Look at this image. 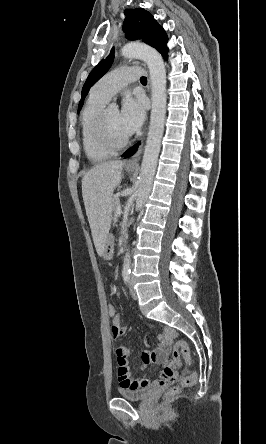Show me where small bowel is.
Listing matches in <instances>:
<instances>
[{"label":"small bowel","instance_id":"small-bowel-1","mask_svg":"<svg viewBox=\"0 0 266 444\" xmlns=\"http://www.w3.org/2000/svg\"><path fill=\"white\" fill-rule=\"evenodd\" d=\"M111 331L115 338L122 337L126 333L125 327L121 324L120 315H116L111 319ZM174 331L164 327L162 334L159 336V344L154 350H144L142 359L145 365L149 363L159 364L162 366L161 374L158 378L149 379L147 377L133 378L127 366V357L129 349L124 345H119L116 349L118 364V381L121 388L138 389L146 386H167L174 382L177 378V371L172 361L169 360L170 344Z\"/></svg>","mask_w":266,"mask_h":444}]
</instances>
